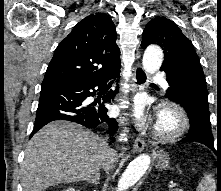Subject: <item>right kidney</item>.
<instances>
[{"label": "right kidney", "mask_w": 221, "mask_h": 191, "mask_svg": "<svg viewBox=\"0 0 221 191\" xmlns=\"http://www.w3.org/2000/svg\"><path fill=\"white\" fill-rule=\"evenodd\" d=\"M63 191H75V189L74 188H68V189L63 190Z\"/></svg>", "instance_id": "right-kidney-1"}]
</instances>
